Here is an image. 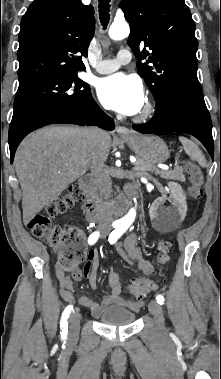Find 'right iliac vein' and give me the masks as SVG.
I'll list each match as a JSON object with an SVG mask.
<instances>
[{"label": "right iliac vein", "mask_w": 221, "mask_h": 379, "mask_svg": "<svg viewBox=\"0 0 221 379\" xmlns=\"http://www.w3.org/2000/svg\"><path fill=\"white\" fill-rule=\"evenodd\" d=\"M81 315L79 312H73L68 320L69 323V336L72 339H75L78 336L79 327H80Z\"/></svg>", "instance_id": "1"}]
</instances>
